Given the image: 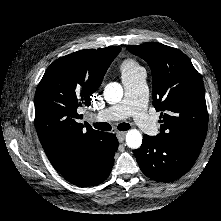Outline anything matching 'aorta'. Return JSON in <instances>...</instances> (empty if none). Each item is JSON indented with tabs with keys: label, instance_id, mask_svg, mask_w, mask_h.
Masks as SVG:
<instances>
[{
	"label": "aorta",
	"instance_id": "obj_1",
	"mask_svg": "<svg viewBox=\"0 0 221 221\" xmlns=\"http://www.w3.org/2000/svg\"><path fill=\"white\" fill-rule=\"evenodd\" d=\"M109 104L119 103L123 97V88L117 82L108 83L103 92ZM126 144L131 149H138L142 144V135L137 129H130L126 134Z\"/></svg>",
	"mask_w": 221,
	"mask_h": 221
}]
</instances>
